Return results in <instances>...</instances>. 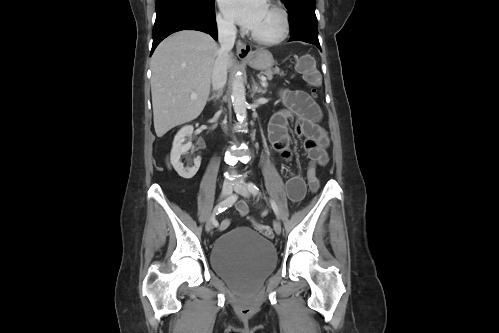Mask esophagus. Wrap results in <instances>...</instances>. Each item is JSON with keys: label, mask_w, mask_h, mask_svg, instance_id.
<instances>
[{"label": "esophagus", "mask_w": 499, "mask_h": 333, "mask_svg": "<svg viewBox=\"0 0 499 333\" xmlns=\"http://www.w3.org/2000/svg\"><path fill=\"white\" fill-rule=\"evenodd\" d=\"M237 55L241 58H247L250 56L252 48L243 43L241 40H238L236 43Z\"/></svg>", "instance_id": "1"}]
</instances>
